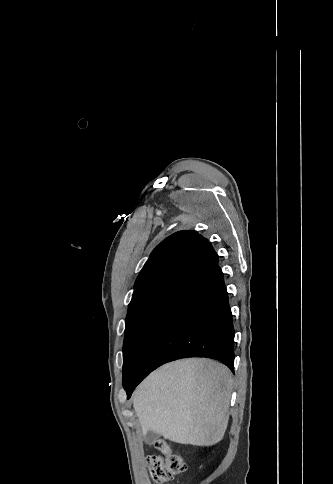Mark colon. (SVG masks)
I'll use <instances>...</instances> for the list:
<instances>
[{
    "instance_id": "1",
    "label": "colon",
    "mask_w": 333,
    "mask_h": 484,
    "mask_svg": "<svg viewBox=\"0 0 333 484\" xmlns=\"http://www.w3.org/2000/svg\"><path fill=\"white\" fill-rule=\"evenodd\" d=\"M155 446L159 454L147 458L150 475L155 483L168 482L185 472V461L165 441L158 440Z\"/></svg>"
}]
</instances>
